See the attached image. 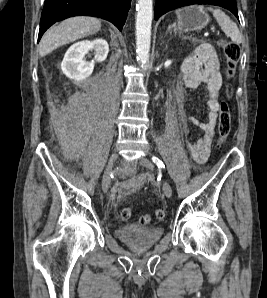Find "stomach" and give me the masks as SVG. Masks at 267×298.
<instances>
[{
	"label": "stomach",
	"instance_id": "0dacf381",
	"mask_svg": "<svg viewBox=\"0 0 267 298\" xmlns=\"http://www.w3.org/2000/svg\"><path fill=\"white\" fill-rule=\"evenodd\" d=\"M177 23L174 28L180 33L199 31L207 26L210 21L208 13L203 7L189 6L176 11Z\"/></svg>",
	"mask_w": 267,
	"mask_h": 298
}]
</instances>
